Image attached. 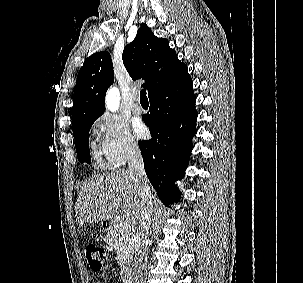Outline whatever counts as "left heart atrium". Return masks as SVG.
<instances>
[{
	"instance_id": "39dd6f15",
	"label": "left heart atrium",
	"mask_w": 303,
	"mask_h": 283,
	"mask_svg": "<svg viewBox=\"0 0 303 283\" xmlns=\"http://www.w3.org/2000/svg\"><path fill=\"white\" fill-rule=\"evenodd\" d=\"M134 129H135V133L138 137H143L146 133L145 126L140 122L135 125Z\"/></svg>"
}]
</instances>
